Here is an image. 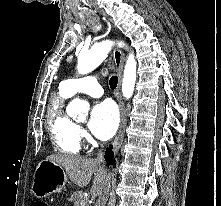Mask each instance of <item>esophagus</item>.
<instances>
[{
  "label": "esophagus",
  "instance_id": "34e87169",
  "mask_svg": "<svg viewBox=\"0 0 221 206\" xmlns=\"http://www.w3.org/2000/svg\"><path fill=\"white\" fill-rule=\"evenodd\" d=\"M113 57H114V61H115V65H116L118 77H119L118 87H117V99H118V103H119V107H120V114H121L120 127H119L118 133L113 141L114 152L117 153L121 147L122 142H123V137H124V133H125V126H126V121H127L125 107H124V103H123V100L121 97V92H120L123 66H124V62H125V55L122 52V50H120L119 48L116 47L113 51Z\"/></svg>",
  "mask_w": 221,
  "mask_h": 206
}]
</instances>
